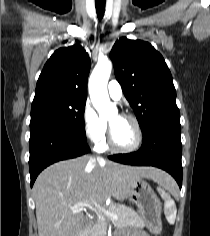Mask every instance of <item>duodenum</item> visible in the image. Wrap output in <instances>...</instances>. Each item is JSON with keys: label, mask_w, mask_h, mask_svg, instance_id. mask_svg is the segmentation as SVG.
Returning <instances> with one entry per match:
<instances>
[{"label": "duodenum", "mask_w": 210, "mask_h": 236, "mask_svg": "<svg viewBox=\"0 0 210 236\" xmlns=\"http://www.w3.org/2000/svg\"><path fill=\"white\" fill-rule=\"evenodd\" d=\"M78 236H84V233H80Z\"/></svg>", "instance_id": "duodenum-1"}]
</instances>
